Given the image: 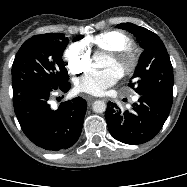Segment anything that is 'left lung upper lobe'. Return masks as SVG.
<instances>
[{"mask_svg":"<svg viewBox=\"0 0 187 187\" xmlns=\"http://www.w3.org/2000/svg\"><path fill=\"white\" fill-rule=\"evenodd\" d=\"M116 27L132 33L144 49L129 86L139 95L173 98V67L162 40L150 30L132 23Z\"/></svg>","mask_w":187,"mask_h":187,"instance_id":"obj_1","label":"left lung upper lobe"}]
</instances>
